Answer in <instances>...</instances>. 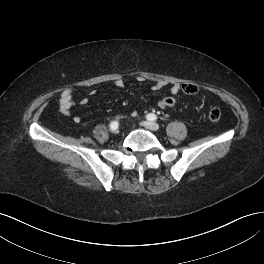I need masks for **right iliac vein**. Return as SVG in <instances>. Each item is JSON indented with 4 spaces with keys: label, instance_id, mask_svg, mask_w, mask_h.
Returning a JSON list of instances; mask_svg holds the SVG:
<instances>
[{
    "label": "right iliac vein",
    "instance_id": "right-iliac-vein-1",
    "mask_svg": "<svg viewBox=\"0 0 264 264\" xmlns=\"http://www.w3.org/2000/svg\"><path fill=\"white\" fill-rule=\"evenodd\" d=\"M112 133L114 134H117L119 132V130L116 128V129H111Z\"/></svg>",
    "mask_w": 264,
    "mask_h": 264
}]
</instances>
